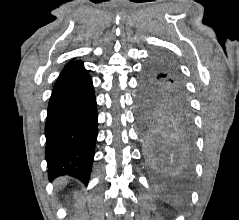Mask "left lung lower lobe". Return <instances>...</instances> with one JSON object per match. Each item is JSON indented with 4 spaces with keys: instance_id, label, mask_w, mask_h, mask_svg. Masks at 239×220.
I'll list each match as a JSON object with an SVG mask.
<instances>
[{
    "instance_id": "obj_1",
    "label": "left lung lower lobe",
    "mask_w": 239,
    "mask_h": 220,
    "mask_svg": "<svg viewBox=\"0 0 239 220\" xmlns=\"http://www.w3.org/2000/svg\"><path fill=\"white\" fill-rule=\"evenodd\" d=\"M144 129L146 154L150 163L164 166L188 161L193 143L189 112L171 111L155 128Z\"/></svg>"
}]
</instances>
